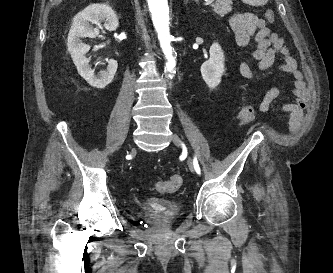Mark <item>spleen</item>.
<instances>
[{
    "mask_svg": "<svg viewBox=\"0 0 333 273\" xmlns=\"http://www.w3.org/2000/svg\"><path fill=\"white\" fill-rule=\"evenodd\" d=\"M242 1L252 6H261L265 5L268 2V0H242Z\"/></svg>",
    "mask_w": 333,
    "mask_h": 273,
    "instance_id": "spleen-1",
    "label": "spleen"
}]
</instances>
